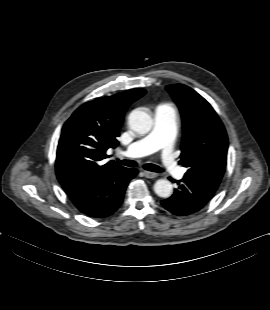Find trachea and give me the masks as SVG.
I'll use <instances>...</instances> for the list:
<instances>
[{"label":"trachea","mask_w":270,"mask_h":310,"mask_svg":"<svg viewBox=\"0 0 270 310\" xmlns=\"http://www.w3.org/2000/svg\"><path fill=\"white\" fill-rule=\"evenodd\" d=\"M118 162L122 165L128 166V167H136L137 163L133 160H118ZM144 169L148 170V171H153V172H164V169H162L161 167L154 165V164H145L143 166Z\"/></svg>","instance_id":"obj_1"}]
</instances>
